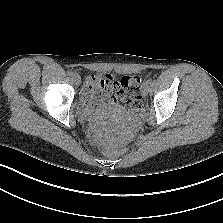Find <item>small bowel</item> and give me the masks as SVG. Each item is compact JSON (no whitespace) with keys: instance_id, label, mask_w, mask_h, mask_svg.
Listing matches in <instances>:
<instances>
[{"instance_id":"1","label":"small bowel","mask_w":223,"mask_h":223,"mask_svg":"<svg viewBox=\"0 0 223 223\" xmlns=\"http://www.w3.org/2000/svg\"><path fill=\"white\" fill-rule=\"evenodd\" d=\"M115 80L111 74L89 76L81 92L84 103L95 107L101 104L116 106L121 101V96L115 91Z\"/></svg>"}]
</instances>
